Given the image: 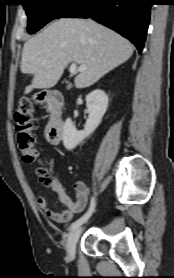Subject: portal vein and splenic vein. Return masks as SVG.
Wrapping results in <instances>:
<instances>
[{"instance_id":"portal-vein-and-splenic-vein-1","label":"portal vein and splenic vein","mask_w":174,"mask_h":278,"mask_svg":"<svg viewBox=\"0 0 174 278\" xmlns=\"http://www.w3.org/2000/svg\"><path fill=\"white\" fill-rule=\"evenodd\" d=\"M86 69H87V67L84 65L77 67L76 63H72L70 65L69 71H70V73H77V72H83Z\"/></svg>"}]
</instances>
